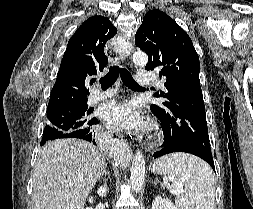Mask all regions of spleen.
Listing matches in <instances>:
<instances>
[{
    "label": "spleen",
    "mask_w": 253,
    "mask_h": 209,
    "mask_svg": "<svg viewBox=\"0 0 253 209\" xmlns=\"http://www.w3.org/2000/svg\"><path fill=\"white\" fill-rule=\"evenodd\" d=\"M155 174L174 178L181 191L175 199L177 209H214V174L200 158L184 153H174L156 160Z\"/></svg>",
    "instance_id": "3e777b00"
}]
</instances>
